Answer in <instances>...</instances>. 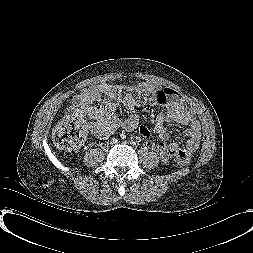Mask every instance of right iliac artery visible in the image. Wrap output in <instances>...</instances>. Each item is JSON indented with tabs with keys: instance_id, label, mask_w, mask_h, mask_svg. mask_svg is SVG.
<instances>
[{
	"instance_id": "1",
	"label": "right iliac artery",
	"mask_w": 253,
	"mask_h": 253,
	"mask_svg": "<svg viewBox=\"0 0 253 253\" xmlns=\"http://www.w3.org/2000/svg\"><path fill=\"white\" fill-rule=\"evenodd\" d=\"M117 141L118 140L116 138H113V140H112L113 143H117Z\"/></svg>"
}]
</instances>
